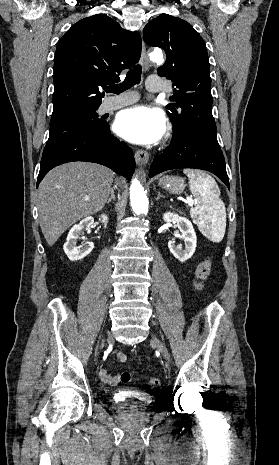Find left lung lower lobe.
<instances>
[{"label":"left lung lower lobe","mask_w":279,"mask_h":465,"mask_svg":"<svg viewBox=\"0 0 279 465\" xmlns=\"http://www.w3.org/2000/svg\"><path fill=\"white\" fill-rule=\"evenodd\" d=\"M196 168L212 172L230 189L225 160L220 146L198 136L173 138L171 144L153 161L149 177L166 170Z\"/></svg>","instance_id":"obj_1"}]
</instances>
